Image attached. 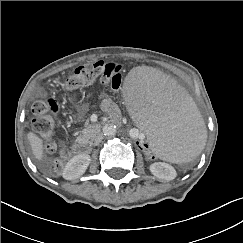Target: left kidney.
Segmentation results:
<instances>
[{"label": "left kidney", "instance_id": "left-kidney-1", "mask_svg": "<svg viewBox=\"0 0 243 243\" xmlns=\"http://www.w3.org/2000/svg\"><path fill=\"white\" fill-rule=\"evenodd\" d=\"M149 169L154 176L167 181L173 180L177 176L174 167L165 162H159L157 165L151 164Z\"/></svg>", "mask_w": 243, "mask_h": 243}]
</instances>
